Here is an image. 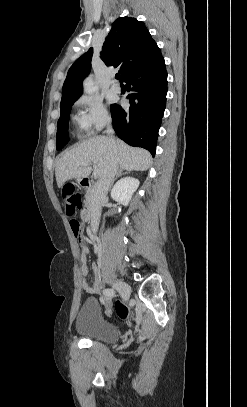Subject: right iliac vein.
Here are the masks:
<instances>
[{"label": "right iliac vein", "instance_id": "obj_1", "mask_svg": "<svg viewBox=\"0 0 247 407\" xmlns=\"http://www.w3.org/2000/svg\"><path fill=\"white\" fill-rule=\"evenodd\" d=\"M113 287L121 293L123 300H128L131 292V287L127 283L122 281H115L113 283Z\"/></svg>", "mask_w": 247, "mask_h": 407}]
</instances>
